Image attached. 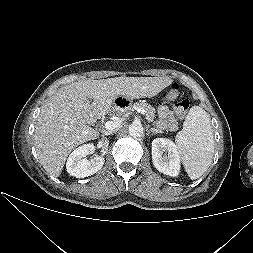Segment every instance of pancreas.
<instances>
[{"instance_id":"pancreas-1","label":"pancreas","mask_w":253,"mask_h":253,"mask_svg":"<svg viewBox=\"0 0 253 253\" xmlns=\"http://www.w3.org/2000/svg\"><path fill=\"white\" fill-rule=\"evenodd\" d=\"M138 108L144 109L145 110V118L149 121V122H154L155 119V108L152 107L151 105H149L146 102H137L135 104H133L132 106V110H136Z\"/></svg>"}]
</instances>
